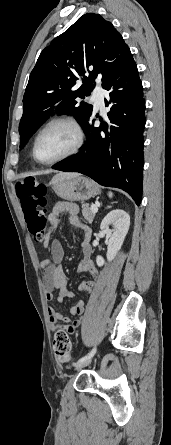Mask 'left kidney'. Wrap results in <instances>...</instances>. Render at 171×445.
I'll return each instance as SVG.
<instances>
[{"mask_svg":"<svg viewBox=\"0 0 171 445\" xmlns=\"http://www.w3.org/2000/svg\"><path fill=\"white\" fill-rule=\"evenodd\" d=\"M112 226V228H110ZM130 216L121 209H115L109 212L102 220L100 229L106 235L108 241L107 260L112 261L124 242L125 236L129 230ZM96 263L99 267L105 264L102 256L96 257Z\"/></svg>","mask_w":171,"mask_h":445,"instance_id":"5707ae66","label":"left kidney"}]
</instances>
